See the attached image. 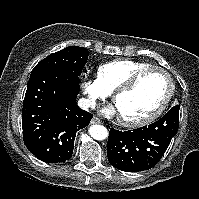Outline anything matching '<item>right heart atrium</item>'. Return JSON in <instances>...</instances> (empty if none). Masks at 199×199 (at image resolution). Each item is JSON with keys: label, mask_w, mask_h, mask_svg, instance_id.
<instances>
[{"label": "right heart atrium", "mask_w": 199, "mask_h": 199, "mask_svg": "<svg viewBox=\"0 0 199 199\" xmlns=\"http://www.w3.org/2000/svg\"><path fill=\"white\" fill-rule=\"evenodd\" d=\"M81 88L85 95V102L90 108H95L99 100L107 98L110 94L98 78L86 79L82 82Z\"/></svg>", "instance_id": "d8ad5b80"}]
</instances>
